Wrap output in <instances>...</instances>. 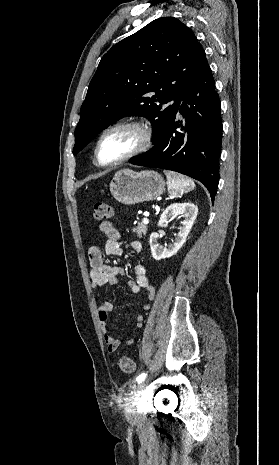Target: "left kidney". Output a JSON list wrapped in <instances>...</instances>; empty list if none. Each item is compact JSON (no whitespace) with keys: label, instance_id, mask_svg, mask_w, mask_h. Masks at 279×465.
<instances>
[{"label":"left kidney","instance_id":"left-kidney-1","mask_svg":"<svg viewBox=\"0 0 279 465\" xmlns=\"http://www.w3.org/2000/svg\"><path fill=\"white\" fill-rule=\"evenodd\" d=\"M198 207L190 202L187 203H174L168 206L161 214L158 226H166L169 219L173 216L183 215L185 219L181 222L182 226L179 227V232L175 238L173 244H170L167 248L159 244V234L153 232L150 235V248L152 256L155 260H161L170 258L175 255L179 249L186 242V238L193 226V223L197 217Z\"/></svg>","mask_w":279,"mask_h":465}]
</instances>
